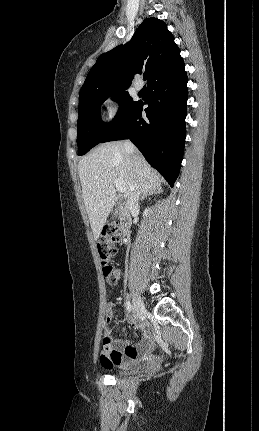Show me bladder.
Segmentation results:
<instances>
[{"instance_id":"1","label":"bladder","mask_w":259,"mask_h":431,"mask_svg":"<svg viewBox=\"0 0 259 431\" xmlns=\"http://www.w3.org/2000/svg\"><path fill=\"white\" fill-rule=\"evenodd\" d=\"M138 371V367L137 366H132V367H128V368H122V369H118L115 371V375L117 376H126V375H130V374H134Z\"/></svg>"}]
</instances>
